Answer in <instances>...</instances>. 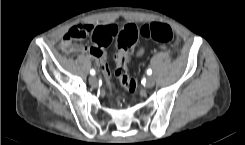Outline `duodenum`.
I'll return each mask as SVG.
<instances>
[{"mask_svg": "<svg viewBox=\"0 0 245 145\" xmlns=\"http://www.w3.org/2000/svg\"><path fill=\"white\" fill-rule=\"evenodd\" d=\"M76 53L77 54H83L86 53L85 49H83L82 47L80 49L76 48Z\"/></svg>", "mask_w": 245, "mask_h": 145, "instance_id": "duodenum-1", "label": "duodenum"}]
</instances>
